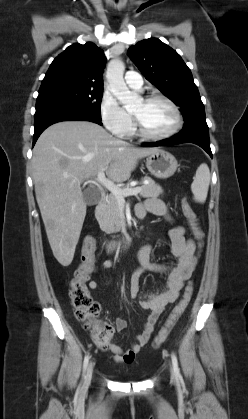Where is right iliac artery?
I'll list each match as a JSON object with an SVG mask.
<instances>
[{
    "instance_id": "1",
    "label": "right iliac artery",
    "mask_w": 248,
    "mask_h": 419,
    "mask_svg": "<svg viewBox=\"0 0 248 419\" xmlns=\"http://www.w3.org/2000/svg\"><path fill=\"white\" fill-rule=\"evenodd\" d=\"M89 358H90L89 355H86L85 358H84V362H83V375H84V373H85V371L87 369Z\"/></svg>"
}]
</instances>
